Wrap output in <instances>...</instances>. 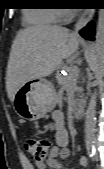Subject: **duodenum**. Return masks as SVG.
<instances>
[{"label":"duodenum","instance_id":"obj_1","mask_svg":"<svg viewBox=\"0 0 104 169\" xmlns=\"http://www.w3.org/2000/svg\"><path fill=\"white\" fill-rule=\"evenodd\" d=\"M86 105L83 101H77L73 107V112L76 118L84 116Z\"/></svg>","mask_w":104,"mask_h":169}]
</instances>
